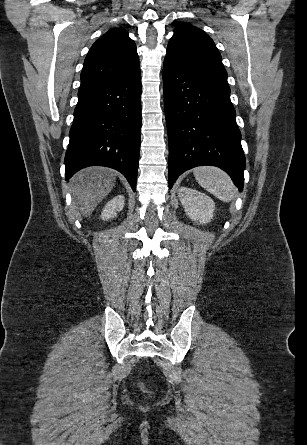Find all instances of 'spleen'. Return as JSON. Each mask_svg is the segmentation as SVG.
I'll use <instances>...</instances> for the list:
<instances>
[{"instance_id":"obj_1","label":"spleen","mask_w":307,"mask_h":445,"mask_svg":"<svg viewBox=\"0 0 307 445\" xmlns=\"http://www.w3.org/2000/svg\"><path fill=\"white\" fill-rule=\"evenodd\" d=\"M193 174L199 184L208 192L224 202L232 200L235 186L227 172L217 166H197V168H193Z\"/></svg>"}]
</instances>
